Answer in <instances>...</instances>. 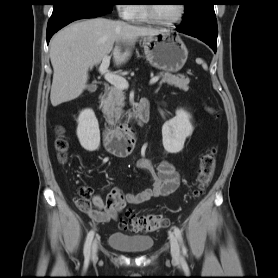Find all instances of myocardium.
I'll return each instance as SVG.
<instances>
[{"label":"myocardium","mask_w":278,"mask_h":278,"mask_svg":"<svg viewBox=\"0 0 278 278\" xmlns=\"http://www.w3.org/2000/svg\"><path fill=\"white\" fill-rule=\"evenodd\" d=\"M179 6H180V10H179L178 16L175 19L171 20V21H163V20L159 19L154 14L153 6L150 5V4H146L145 5V10H146V14H147L148 20L150 22L158 24V25H161V26L171 27V26H174V25L180 23L182 21V19L184 18V15H185V12H186V7L182 3L179 4Z\"/></svg>","instance_id":"obj_1"}]
</instances>
